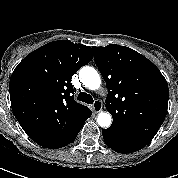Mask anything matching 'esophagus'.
Returning <instances> with one entry per match:
<instances>
[{"label":"esophagus","mask_w":178,"mask_h":178,"mask_svg":"<svg viewBox=\"0 0 178 178\" xmlns=\"http://www.w3.org/2000/svg\"><path fill=\"white\" fill-rule=\"evenodd\" d=\"M91 109L94 113L100 112L102 110V103L100 101L96 100L94 102V104L92 105Z\"/></svg>","instance_id":"obj_1"}]
</instances>
